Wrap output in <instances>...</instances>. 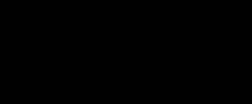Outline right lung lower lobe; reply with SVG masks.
<instances>
[{
    "label": "right lung lower lobe",
    "instance_id": "right-lung-lower-lobe-1",
    "mask_svg": "<svg viewBox=\"0 0 252 104\" xmlns=\"http://www.w3.org/2000/svg\"><path fill=\"white\" fill-rule=\"evenodd\" d=\"M38 104H114L122 96L116 79L100 66L76 57H53L32 70Z\"/></svg>",
    "mask_w": 252,
    "mask_h": 104
}]
</instances>
